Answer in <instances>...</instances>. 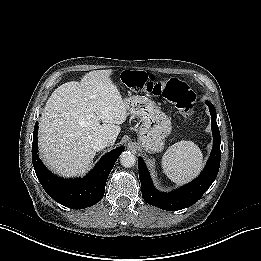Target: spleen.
<instances>
[{"mask_svg":"<svg viewBox=\"0 0 261 261\" xmlns=\"http://www.w3.org/2000/svg\"><path fill=\"white\" fill-rule=\"evenodd\" d=\"M203 154L192 141H180L169 147L162 157V168L176 184L186 183L201 171Z\"/></svg>","mask_w":261,"mask_h":261,"instance_id":"3e777b00","label":"spleen"}]
</instances>
